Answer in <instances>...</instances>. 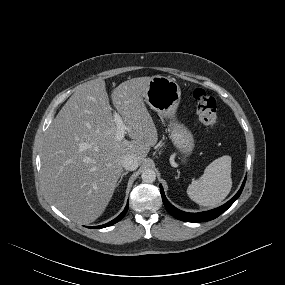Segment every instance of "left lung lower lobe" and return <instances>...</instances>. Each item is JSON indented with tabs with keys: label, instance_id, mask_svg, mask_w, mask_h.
Returning a JSON list of instances; mask_svg holds the SVG:
<instances>
[{
	"label": "left lung lower lobe",
	"instance_id": "left-lung-lower-lobe-1",
	"mask_svg": "<svg viewBox=\"0 0 285 285\" xmlns=\"http://www.w3.org/2000/svg\"><path fill=\"white\" fill-rule=\"evenodd\" d=\"M245 181H246V178L244 179L242 186L239 189V191L236 193V195L231 200H229L227 203H225L224 205H222L218 208H215L213 210L200 212V213H188V212H184V211H181V210L175 208L166 199L163 188L161 185H160V192L162 195L163 203H164L167 211L172 216H174L175 218H177L181 221H185V222H203V221L213 220V219L217 218L219 215H221L224 211H226L240 196V194L244 188Z\"/></svg>",
	"mask_w": 285,
	"mask_h": 285
}]
</instances>
